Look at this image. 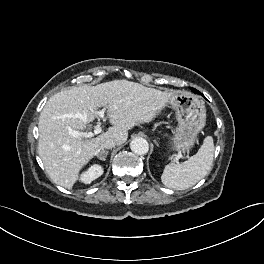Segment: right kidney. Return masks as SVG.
<instances>
[{
	"label": "right kidney",
	"instance_id": "obj_1",
	"mask_svg": "<svg viewBox=\"0 0 264 264\" xmlns=\"http://www.w3.org/2000/svg\"><path fill=\"white\" fill-rule=\"evenodd\" d=\"M103 174L102 166L95 164L92 165L87 171L81 174L80 180L85 184L91 183Z\"/></svg>",
	"mask_w": 264,
	"mask_h": 264
}]
</instances>
